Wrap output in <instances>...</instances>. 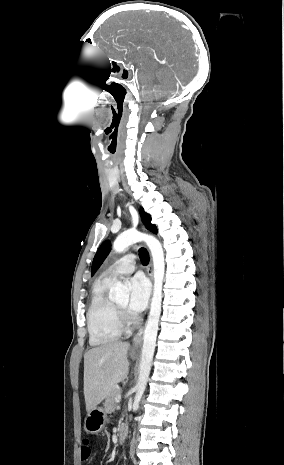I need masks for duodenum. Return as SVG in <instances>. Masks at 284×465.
<instances>
[{"mask_svg": "<svg viewBox=\"0 0 284 465\" xmlns=\"http://www.w3.org/2000/svg\"><path fill=\"white\" fill-rule=\"evenodd\" d=\"M118 436L120 441H124L127 436V429L125 427L121 428L118 433Z\"/></svg>", "mask_w": 284, "mask_h": 465, "instance_id": "duodenum-1", "label": "duodenum"}]
</instances>
